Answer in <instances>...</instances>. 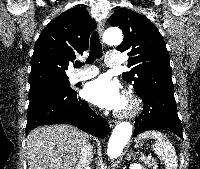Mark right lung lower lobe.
Here are the masks:
<instances>
[{"instance_id":"right-lung-lower-lobe-1","label":"right lung lower lobe","mask_w":200,"mask_h":169,"mask_svg":"<svg viewBox=\"0 0 200 169\" xmlns=\"http://www.w3.org/2000/svg\"><path fill=\"white\" fill-rule=\"evenodd\" d=\"M26 134L40 125L66 123L99 138L109 132L107 121L94 113L77 93L57 89L29 97Z\"/></svg>"}]
</instances>
